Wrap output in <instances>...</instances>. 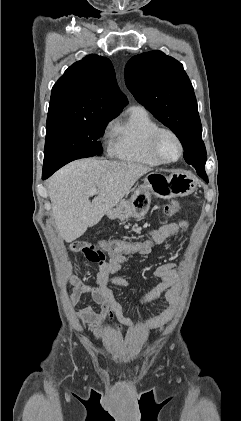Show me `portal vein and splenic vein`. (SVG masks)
Listing matches in <instances>:
<instances>
[{
    "instance_id": "portal-vein-and-splenic-vein-1",
    "label": "portal vein and splenic vein",
    "mask_w": 241,
    "mask_h": 421,
    "mask_svg": "<svg viewBox=\"0 0 241 421\" xmlns=\"http://www.w3.org/2000/svg\"><path fill=\"white\" fill-rule=\"evenodd\" d=\"M98 193V190L96 189V188H92L89 192H88V194L89 195H96Z\"/></svg>"
}]
</instances>
